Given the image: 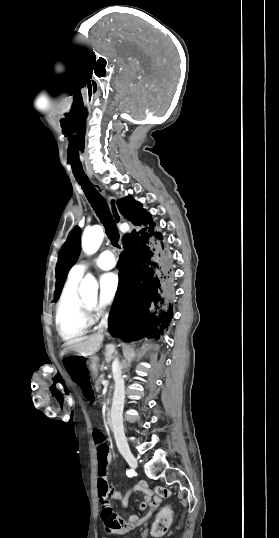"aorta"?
Instances as JSON below:
<instances>
[{
	"label": "aorta",
	"instance_id": "1",
	"mask_svg": "<svg viewBox=\"0 0 279 538\" xmlns=\"http://www.w3.org/2000/svg\"><path fill=\"white\" fill-rule=\"evenodd\" d=\"M104 238V232L101 226L95 225L84 231L82 236V249L88 254H94L100 247ZM98 283L96 279L87 274L80 284V295L84 298H96Z\"/></svg>",
	"mask_w": 279,
	"mask_h": 538
}]
</instances>
